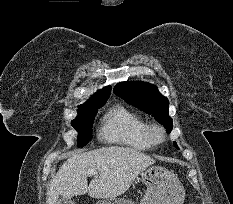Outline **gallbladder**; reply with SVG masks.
Masks as SVG:
<instances>
[{"mask_svg":"<svg viewBox=\"0 0 233 204\" xmlns=\"http://www.w3.org/2000/svg\"><path fill=\"white\" fill-rule=\"evenodd\" d=\"M56 204H75V201L72 199H69V200L62 199V200H59Z\"/></svg>","mask_w":233,"mask_h":204,"instance_id":"1","label":"gallbladder"}]
</instances>
